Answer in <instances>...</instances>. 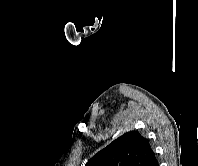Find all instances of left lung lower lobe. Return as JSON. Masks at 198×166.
<instances>
[{"instance_id": "obj_1", "label": "left lung lower lobe", "mask_w": 198, "mask_h": 166, "mask_svg": "<svg viewBox=\"0 0 198 166\" xmlns=\"http://www.w3.org/2000/svg\"><path fill=\"white\" fill-rule=\"evenodd\" d=\"M151 166H159L157 159L153 162Z\"/></svg>"}]
</instances>
